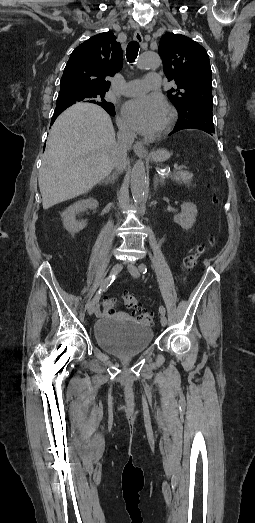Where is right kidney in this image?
Wrapping results in <instances>:
<instances>
[{"mask_svg": "<svg viewBox=\"0 0 255 523\" xmlns=\"http://www.w3.org/2000/svg\"><path fill=\"white\" fill-rule=\"evenodd\" d=\"M86 208H93V210L98 208L97 200H94V198L79 200V202L72 204V206H69V208L61 214L62 222L67 232H70V234H77V232H80V230H83V228L87 226L86 222H78V220H76V214H78V212H84Z\"/></svg>", "mask_w": 255, "mask_h": 523, "instance_id": "1", "label": "right kidney"}]
</instances>
